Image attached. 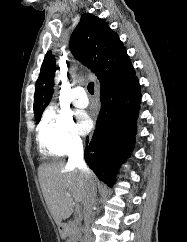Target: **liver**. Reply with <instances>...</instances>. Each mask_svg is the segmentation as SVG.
I'll return each mask as SVG.
<instances>
[{
  "mask_svg": "<svg viewBox=\"0 0 187 242\" xmlns=\"http://www.w3.org/2000/svg\"><path fill=\"white\" fill-rule=\"evenodd\" d=\"M38 176L46 205L58 226L73 213L75 203L84 205L88 188L96 182L92 173L85 176L62 161L40 165Z\"/></svg>",
  "mask_w": 187,
  "mask_h": 242,
  "instance_id": "1",
  "label": "liver"
}]
</instances>
